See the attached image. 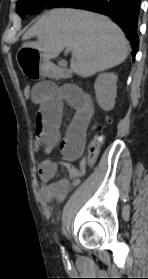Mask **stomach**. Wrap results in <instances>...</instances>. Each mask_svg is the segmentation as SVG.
Masks as SVG:
<instances>
[{
  "label": "stomach",
  "mask_w": 148,
  "mask_h": 279,
  "mask_svg": "<svg viewBox=\"0 0 148 279\" xmlns=\"http://www.w3.org/2000/svg\"><path fill=\"white\" fill-rule=\"evenodd\" d=\"M15 59L27 82H48L54 75L48 54H44V50H16Z\"/></svg>",
  "instance_id": "stomach-1"
}]
</instances>
